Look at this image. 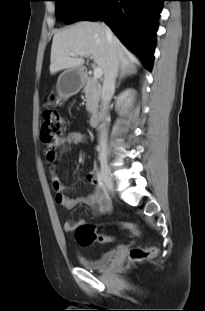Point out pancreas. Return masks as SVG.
Here are the masks:
<instances>
[{
    "mask_svg": "<svg viewBox=\"0 0 205 311\" xmlns=\"http://www.w3.org/2000/svg\"><path fill=\"white\" fill-rule=\"evenodd\" d=\"M83 92L86 98V110L91 114L96 113L101 94L99 82L94 78H88L85 82Z\"/></svg>",
    "mask_w": 205,
    "mask_h": 311,
    "instance_id": "obj_1",
    "label": "pancreas"
}]
</instances>
